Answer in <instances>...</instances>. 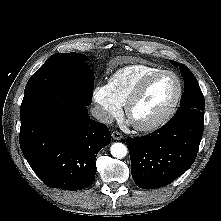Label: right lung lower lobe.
Wrapping results in <instances>:
<instances>
[{
  "instance_id": "98d812e1",
  "label": "right lung lower lobe",
  "mask_w": 221,
  "mask_h": 221,
  "mask_svg": "<svg viewBox=\"0 0 221 221\" xmlns=\"http://www.w3.org/2000/svg\"><path fill=\"white\" fill-rule=\"evenodd\" d=\"M20 116L21 150L48 187L75 191L94 182L97 153L110 143L111 134L104 124L90 119L87 104L54 96Z\"/></svg>"
}]
</instances>
